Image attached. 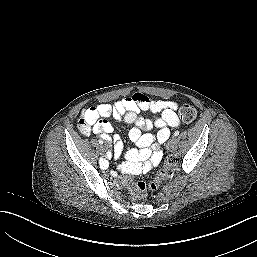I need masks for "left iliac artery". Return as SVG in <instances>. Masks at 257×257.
<instances>
[{"mask_svg": "<svg viewBox=\"0 0 257 257\" xmlns=\"http://www.w3.org/2000/svg\"><path fill=\"white\" fill-rule=\"evenodd\" d=\"M179 135V131H175L174 136H178Z\"/></svg>", "mask_w": 257, "mask_h": 257, "instance_id": "left-iliac-artery-1", "label": "left iliac artery"}]
</instances>
